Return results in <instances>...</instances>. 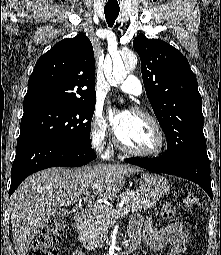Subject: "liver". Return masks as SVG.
<instances>
[{"instance_id":"1","label":"liver","mask_w":221,"mask_h":255,"mask_svg":"<svg viewBox=\"0 0 221 255\" xmlns=\"http://www.w3.org/2000/svg\"><path fill=\"white\" fill-rule=\"evenodd\" d=\"M135 172L139 168L98 164L78 169L49 168L26 178L10 201L17 255H27L32 240L59 207L75 205L91 192L99 200L112 201L122 190L126 176Z\"/></svg>"}]
</instances>
